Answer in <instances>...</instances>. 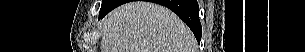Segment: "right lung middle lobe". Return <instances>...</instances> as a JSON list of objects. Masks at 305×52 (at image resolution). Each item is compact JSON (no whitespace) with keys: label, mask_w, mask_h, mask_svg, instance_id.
<instances>
[{"label":"right lung middle lobe","mask_w":305,"mask_h":52,"mask_svg":"<svg viewBox=\"0 0 305 52\" xmlns=\"http://www.w3.org/2000/svg\"><path fill=\"white\" fill-rule=\"evenodd\" d=\"M108 2H109L108 0H103L101 8H103Z\"/></svg>","instance_id":"right-lung-middle-lobe-1"}]
</instances>
